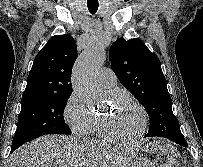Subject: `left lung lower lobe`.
Wrapping results in <instances>:
<instances>
[{"label":"left lung lower lobe","instance_id":"left-lung-lower-lobe-1","mask_svg":"<svg viewBox=\"0 0 203 167\" xmlns=\"http://www.w3.org/2000/svg\"><path fill=\"white\" fill-rule=\"evenodd\" d=\"M164 138L170 139L173 142H175V143H177V144H179L181 146H185V147L188 146L183 135L172 134V135H166V137H164Z\"/></svg>","mask_w":203,"mask_h":167}]
</instances>
